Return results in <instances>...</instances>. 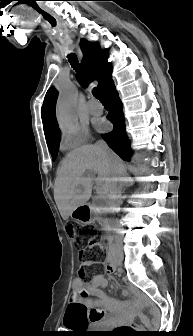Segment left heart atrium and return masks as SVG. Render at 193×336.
<instances>
[{"label":"left heart atrium","instance_id":"obj_1","mask_svg":"<svg viewBox=\"0 0 193 336\" xmlns=\"http://www.w3.org/2000/svg\"><path fill=\"white\" fill-rule=\"evenodd\" d=\"M100 127H101V128H104V124L101 123V124H100Z\"/></svg>","mask_w":193,"mask_h":336}]
</instances>
